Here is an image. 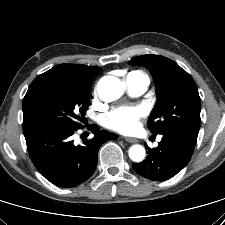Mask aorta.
Instances as JSON below:
<instances>
[{"label":"aorta","instance_id":"762f6f07","mask_svg":"<svg viewBox=\"0 0 225 225\" xmlns=\"http://www.w3.org/2000/svg\"><path fill=\"white\" fill-rule=\"evenodd\" d=\"M125 85L115 76H104L97 84V93L101 100L112 102L119 99L124 93ZM129 157L133 162L140 163L145 159L146 150L140 144H134L129 148Z\"/></svg>","mask_w":225,"mask_h":225}]
</instances>
